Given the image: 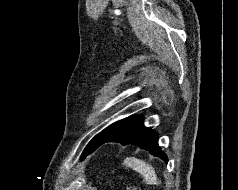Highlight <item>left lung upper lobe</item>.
I'll list each match as a JSON object with an SVG mask.
<instances>
[{
    "label": "left lung upper lobe",
    "instance_id": "1",
    "mask_svg": "<svg viewBox=\"0 0 238 190\" xmlns=\"http://www.w3.org/2000/svg\"><path fill=\"white\" fill-rule=\"evenodd\" d=\"M115 123L111 124L107 128H105L103 131H101L99 134H97L86 146V148L83 151L82 158H84L86 155L94 151L97 147L101 145L102 140L105 138L106 134L112 129Z\"/></svg>",
    "mask_w": 238,
    "mask_h": 190
}]
</instances>
